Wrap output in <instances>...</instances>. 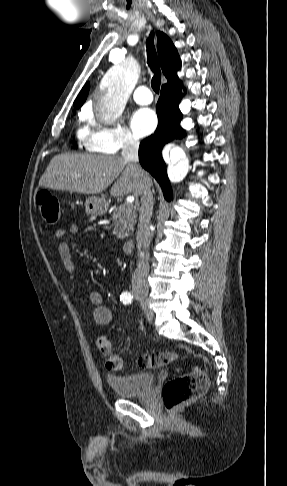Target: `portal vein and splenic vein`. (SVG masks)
<instances>
[{"label":"portal vein and splenic vein","mask_w":287,"mask_h":486,"mask_svg":"<svg viewBox=\"0 0 287 486\" xmlns=\"http://www.w3.org/2000/svg\"><path fill=\"white\" fill-rule=\"evenodd\" d=\"M133 201H134V197H129V198H127V202L132 203Z\"/></svg>","instance_id":"1"}]
</instances>
